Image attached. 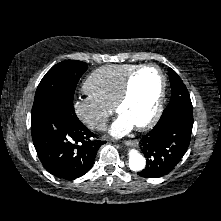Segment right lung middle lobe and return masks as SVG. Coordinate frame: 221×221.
I'll use <instances>...</instances> for the list:
<instances>
[{
	"label": "right lung middle lobe",
	"instance_id": "right-lung-middle-lobe-1",
	"mask_svg": "<svg viewBox=\"0 0 221 221\" xmlns=\"http://www.w3.org/2000/svg\"><path fill=\"white\" fill-rule=\"evenodd\" d=\"M86 70L87 64L76 60H66L53 66L38 85L31 118L52 106H73L77 83Z\"/></svg>",
	"mask_w": 221,
	"mask_h": 221
}]
</instances>
